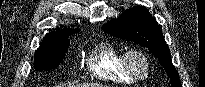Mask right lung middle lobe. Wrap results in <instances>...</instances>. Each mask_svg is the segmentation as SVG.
<instances>
[{
    "instance_id": "right-lung-middle-lobe-1",
    "label": "right lung middle lobe",
    "mask_w": 205,
    "mask_h": 87,
    "mask_svg": "<svg viewBox=\"0 0 205 87\" xmlns=\"http://www.w3.org/2000/svg\"><path fill=\"white\" fill-rule=\"evenodd\" d=\"M70 41L64 39L58 42L42 43L34 56L36 71L55 69L59 66L68 51Z\"/></svg>"
}]
</instances>
